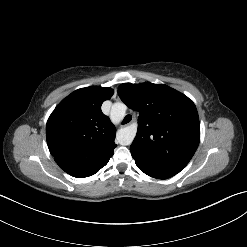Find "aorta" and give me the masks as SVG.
Listing matches in <instances>:
<instances>
[{"mask_svg": "<svg viewBox=\"0 0 247 247\" xmlns=\"http://www.w3.org/2000/svg\"><path fill=\"white\" fill-rule=\"evenodd\" d=\"M126 105L120 102L114 103L111 108V118L115 122H120L125 117ZM137 128L134 125L121 128L117 132V141L121 145H130L136 135Z\"/></svg>", "mask_w": 247, "mask_h": 247, "instance_id": "1", "label": "aorta"}]
</instances>
